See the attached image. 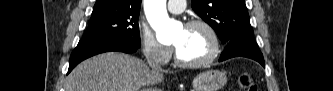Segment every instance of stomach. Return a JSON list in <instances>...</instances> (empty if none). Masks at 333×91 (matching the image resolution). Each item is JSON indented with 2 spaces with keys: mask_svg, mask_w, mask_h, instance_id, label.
<instances>
[{
  "mask_svg": "<svg viewBox=\"0 0 333 91\" xmlns=\"http://www.w3.org/2000/svg\"><path fill=\"white\" fill-rule=\"evenodd\" d=\"M227 83L224 72L208 70L200 73L193 80L194 91H218Z\"/></svg>",
  "mask_w": 333,
  "mask_h": 91,
  "instance_id": "1",
  "label": "stomach"
}]
</instances>
